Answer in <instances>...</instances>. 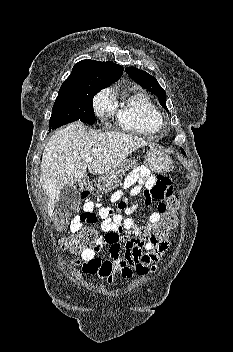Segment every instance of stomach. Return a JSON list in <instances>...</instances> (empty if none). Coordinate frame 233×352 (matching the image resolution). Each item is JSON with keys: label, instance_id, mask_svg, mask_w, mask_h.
Here are the masks:
<instances>
[{"label": "stomach", "instance_id": "stomach-1", "mask_svg": "<svg viewBox=\"0 0 233 352\" xmlns=\"http://www.w3.org/2000/svg\"><path fill=\"white\" fill-rule=\"evenodd\" d=\"M146 165L157 173H164L170 170L172 161L170 157L155 148L148 151L145 156ZM137 163L135 159H126L116 169L110 171L107 174L101 175L97 179V187L103 192H109L115 189L123 178L125 171L136 167Z\"/></svg>", "mask_w": 233, "mask_h": 352}]
</instances>
